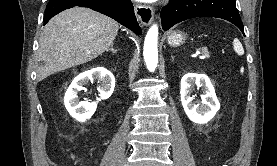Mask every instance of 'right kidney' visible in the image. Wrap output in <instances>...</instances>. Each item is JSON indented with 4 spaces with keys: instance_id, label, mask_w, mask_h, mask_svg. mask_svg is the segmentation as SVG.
Wrapping results in <instances>:
<instances>
[{
    "instance_id": "ca27d5eb",
    "label": "right kidney",
    "mask_w": 277,
    "mask_h": 166,
    "mask_svg": "<svg viewBox=\"0 0 277 166\" xmlns=\"http://www.w3.org/2000/svg\"><path fill=\"white\" fill-rule=\"evenodd\" d=\"M93 79H97L100 83V100L108 99L115 87L114 76L104 68H95L78 75L65 93L64 104L69 114L80 122L90 118L97 108V102L79 101L77 95L84 89L83 85Z\"/></svg>"
}]
</instances>
